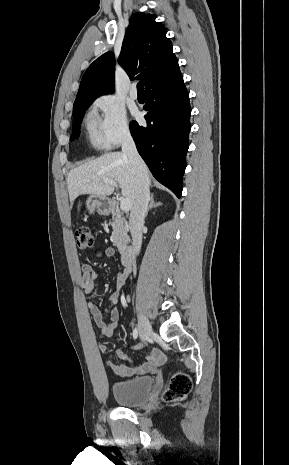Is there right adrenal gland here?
<instances>
[{
  "label": "right adrenal gland",
  "mask_w": 289,
  "mask_h": 465,
  "mask_svg": "<svg viewBox=\"0 0 289 465\" xmlns=\"http://www.w3.org/2000/svg\"><path fill=\"white\" fill-rule=\"evenodd\" d=\"M161 205H162V203H161V202H155V201H154V195H151L150 204H149V206H148V208H147V211H146V215H145V216L148 215L149 210H151L152 208H156V207H158V206H161Z\"/></svg>",
  "instance_id": "1"
}]
</instances>
